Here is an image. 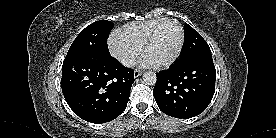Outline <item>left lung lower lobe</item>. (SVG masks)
<instances>
[{
	"mask_svg": "<svg viewBox=\"0 0 276 138\" xmlns=\"http://www.w3.org/2000/svg\"><path fill=\"white\" fill-rule=\"evenodd\" d=\"M157 74L153 89L158 107L175 118L202 113L215 92L216 70L211 53H202Z\"/></svg>",
	"mask_w": 276,
	"mask_h": 138,
	"instance_id": "obj_1",
	"label": "left lung lower lobe"
}]
</instances>
